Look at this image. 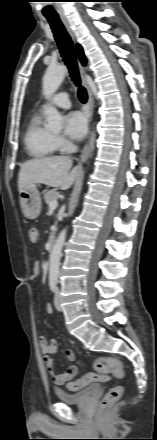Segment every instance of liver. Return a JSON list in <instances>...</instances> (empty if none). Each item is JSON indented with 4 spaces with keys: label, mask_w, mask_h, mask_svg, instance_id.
Returning <instances> with one entry per match:
<instances>
[{
    "label": "liver",
    "mask_w": 157,
    "mask_h": 440,
    "mask_svg": "<svg viewBox=\"0 0 157 440\" xmlns=\"http://www.w3.org/2000/svg\"><path fill=\"white\" fill-rule=\"evenodd\" d=\"M72 160L66 156H54L33 159L21 165L18 176V189L35 184H44L49 187L69 189L81 172L76 166L71 171Z\"/></svg>",
    "instance_id": "6515ba94"
}]
</instances>
